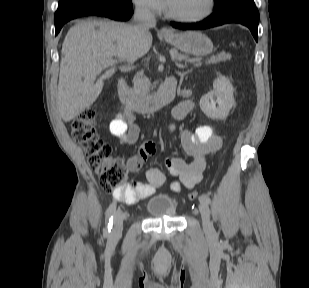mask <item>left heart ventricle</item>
Here are the masks:
<instances>
[{
    "label": "left heart ventricle",
    "mask_w": 309,
    "mask_h": 288,
    "mask_svg": "<svg viewBox=\"0 0 309 288\" xmlns=\"http://www.w3.org/2000/svg\"><path fill=\"white\" fill-rule=\"evenodd\" d=\"M170 9L182 16L195 17L204 13L208 0H167Z\"/></svg>",
    "instance_id": "left-heart-ventricle-1"
}]
</instances>
